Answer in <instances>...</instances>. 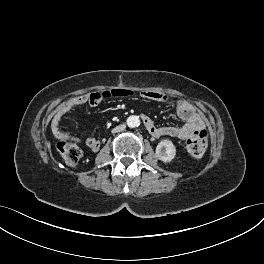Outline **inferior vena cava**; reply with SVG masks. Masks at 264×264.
<instances>
[{
    "mask_svg": "<svg viewBox=\"0 0 264 264\" xmlns=\"http://www.w3.org/2000/svg\"><path fill=\"white\" fill-rule=\"evenodd\" d=\"M125 126L124 125H120L118 127H116L114 130L117 132V131H122L124 130Z\"/></svg>",
    "mask_w": 264,
    "mask_h": 264,
    "instance_id": "1",
    "label": "inferior vena cava"
}]
</instances>
